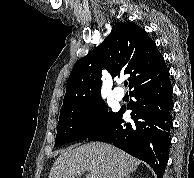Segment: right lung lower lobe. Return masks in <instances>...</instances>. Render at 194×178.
<instances>
[{"mask_svg": "<svg viewBox=\"0 0 194 178\" xmlns=\"http://www.w3.org/2000/svg\"><path fill=\"white\" fill-rule=\"evenodd\" d=\"M136 99L131 109L132 123L122 119L125 107L113 113L88 139L112 142L116 147L148 163L162 178L169 158L173 109L172 86L166 69L154 80L133 88Z\"/></svg>", "mask_w": 194, "mask_h": 178, "instance_id": "obj_1", "label": "right lung lower lobe"}]
</instances>
